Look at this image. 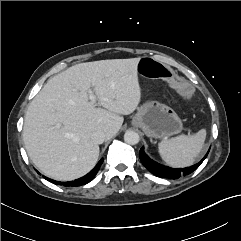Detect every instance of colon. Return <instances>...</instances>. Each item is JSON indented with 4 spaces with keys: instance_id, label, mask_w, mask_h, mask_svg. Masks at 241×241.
<instances>
[{
    "instance_id": "colon-1",
    "label": "colon",
    "mask_w": 241,
    "mask_h": 241,
    "mask_svg": "<svg viewBox=\"0 0 241 241\" xmlns=\"http://www.w3.org/2000/svg\"><path fill=\"white\" fill-rule=\"evenodd\" d=\"M135 65L136 73L143 78L154 77L164 86L177 87L182 93L188 95L194 92V85L183 78L179 72H172V69L163 61L149 56H141L137 58Z\"/></svg>"
}]
</instances>
